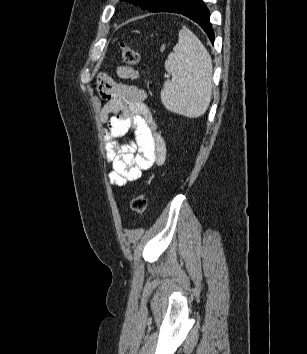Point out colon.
I'll return each instance as SVG.
<instances>
[{"label":"colon","instance_id":"5ec220e1","mask_svg":"<svg viewBox=\"0 0 307 354\" xmlns=\"http://www.w3.org/2000/svg\"><path fill=\"white\" fill-rule=\"evenodd\" d=\"M121 57L122 60L129 66H135L139 63L140 56L139 53L129 46L128 44L122 42L120 44ZM132 210L142 216L147 209V198L144 193H138L131 201Z\"/></svg>","mask_w":307,"mask_h":354}]
</instances>
